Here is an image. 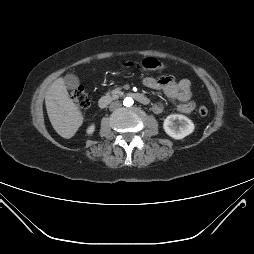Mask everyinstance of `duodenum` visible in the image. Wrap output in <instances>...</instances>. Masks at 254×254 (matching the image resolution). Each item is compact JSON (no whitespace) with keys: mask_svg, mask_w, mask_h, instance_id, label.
Listing matches in <instances>:
<instances>
[{"mask_svg":"<svg viewBox=\"0 0 254 254\" xmlns=\"http://www.w3.org/2000/svg\"><path fill=\"white\" fill-rule=\"evenodd\" d=\"M124 96H131L135 100H137L139 103L147 105L149 104V98L145 96L142 93L139 92H129L124 94ZM118 97V95L114 94H105L99 99V107L100 108H106L113 100H115Z\"/></svg>","mask_w":254,"mask_h":254,"instance_id":"410a0bca","label":"duodenum"}]
</instances>
